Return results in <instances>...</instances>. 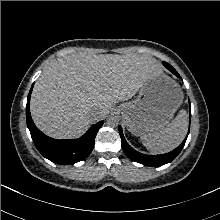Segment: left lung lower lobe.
<instances>
[{"label": "left lung lower lobe", "mask_w": 220, "mask_h": 220, "mask_svg": "<svg viewBox=\"0 0 220 220\" xmlns=\"http://www.w3.org/2000/svg\"><path fill=\"white\" fill-rule=\"evenodd\" d=\"M163 65L170 70L174 75L177 77L181 78L180 75L177 73V71L168 63L163 62ZM119 134L121 137L122 141V149L124 153L132 160L138 163H141L143 165L151 166V167H156V166H161L166 163L171 162L173 159L177 157V155L181 152L182 148L185 145L187 137L184 139V141L173 151L162 154V155H145L142 153L137 152L134 150L125 140L122 132V128L119 127ZM189 134V133H188Z\"/></svg>", "instance_id": "1"}]
</instances>
